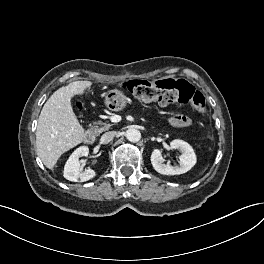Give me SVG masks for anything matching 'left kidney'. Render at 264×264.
<instances>
[{"label":"left kidney","mask_w":264,"mask_h":264,"mask_svg":"<svg viewBox=\"0 0 264 264\" xmlns=\"http://www.w3.org/2000/svg\"><path fill=\"white\" fill-rule=\"evenodd\" d=\"M170 146L172 149H179L182 152L179 156V165L171 166L170 164H164L161 150L154 149L151 154V164L158 173L163 175H179L186 173L196 164L195 152L187 142L175 139L171 141Z\"/></svg>","instance_id":"5707ae66"}]
</instances>
